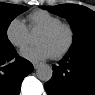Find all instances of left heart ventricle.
I'll list each match as a JSON object with an SVG mask.
<instances>
[{
    "instance_id": "b2bd125f",
    "label": "left heart ventricle",
    "mask_w": 95,
    "mask_h": 95,
    "mask_svg": "<svg viewBox=\"0 0 95 95\" xmlns=\"http://www.w3.org/2000/svg\"><path fill=\"white\" fill-rule=\"evenodd\" d=\"M68 38L69 35L67 30L61 29L52 35L39 33L36 39V43L47 45L52 54H55L66 46Z\"/></svg>"
}]
</instances>
